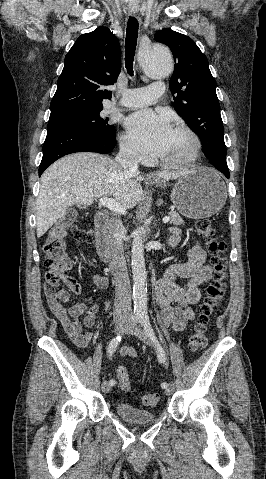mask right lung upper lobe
Segmentation results:
<instances>
[{"mask_svg":"<svg viewBox=\"0 0 266 479\" xmlns=\"http://www.w3.org/2000/svg\"><path fill=\"white\" fill-rule=\"evenodd\" d=\"M121 71L119 41L106 27L81 35L65 56L50 110L100 108Z\"/></svg>","mask_w":266,"mask_h":479,"instance_id":"obj_1","label":"right lung upper lobe"}]
</instances>
